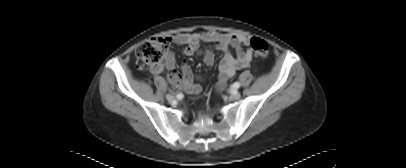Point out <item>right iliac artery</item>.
I'll list each match as a JSON object with an SVG mask.
<instances>
[{
    "instance_id": "obj_1",
    "label": "right iliac artery",
    "mask_w": 406,
    "mask_h": 168,
    "mask_svg": "<svg viewBox=\"0 0 406 168\" xmlns=\"http://www.w3.org/2000/svg\"><path fill=\"white\" fill-rule=\"evenodd\" d=\"M181 96V94H177V97Z\"/></svg>"
}]
</instances>
